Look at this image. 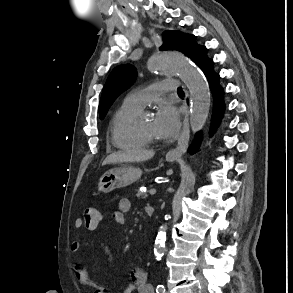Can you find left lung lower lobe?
<instances>
[{"label":"left lung lower lobe","instance_id":"1","mask_svg":"<svg viewBox=\"0 0 293 293\" xmlns=\"http://www.w3.org/2000/svg\"><path fill=\"white\" fill-rule=\"evenodd\" d=\"M193 61L201 68V70L205 73L210 89L214 98V106H213V114H212V122H211V130L210 135L212 136L216 126L219 124V120L221 119L223 110H224V102H223V89L219 86V75L213 72V62L206 56V48L202 46L198 51L196 57ZM201 133H197L194 139L193 144L189 148V152L194 154L198 151L200 143H201Z\"/></svg>","mask_w":293,"mask_h":293}]
</instances>
